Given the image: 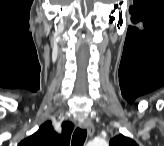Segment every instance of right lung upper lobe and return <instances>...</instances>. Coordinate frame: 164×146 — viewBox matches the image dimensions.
I'll return each mask as SVG.
<instances>
[{
	"mask_svg": "<svg viewBox=\"0 0 164 146\" xmlns=\"http://www.w3.org/2000/svg\"><path fill=\"white\" fill-rule=\"evenodd\" d=\"M72 129L71 123L66 122L63 125L62 134H57L51 122L47 121L39 127L37 132L21 141L19 146H66L69 144Z\"/></svg>",
	"mask_w": 164,
	"mask_h": 146,
	"instance_id": "obj_1",
	"label": "right lung upper lobe"
}]
</instances>
